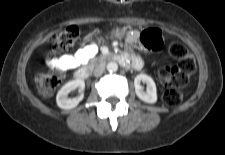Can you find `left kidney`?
<instances>
[{
  "mask_svg": "<svg viewBox=\"0 0 225 155\" xmlns=\"http://www.w3.org/2000/svg\"><path fill=\"white\" fill-rule=\"evenodd\" d=\"M145 82L147 84L146 92L143 91L140 83ZM135 93L139 99L146 103H155L157 101V90L154 80L146 75L139 74L134 79Z\"/></svg>",
  "mask_w": 225,
  "mask_h": 155,
  "instance_id": "5707ae66",
  "label": "left kidney"
}]
</instances>
